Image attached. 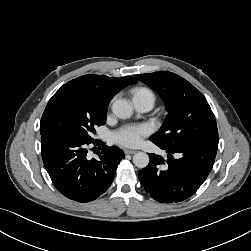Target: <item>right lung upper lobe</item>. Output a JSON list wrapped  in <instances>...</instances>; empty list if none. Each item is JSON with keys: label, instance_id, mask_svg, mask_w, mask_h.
<instances>
[{"label": "right lung upper lobe", "instance_id": "right-lung-upper-lobe-1", "mask_svg": "<svg viewBox=\"0 0 251 251\" xmlns=\"http://www.w3.org/2000/svg\"><path fill=\"white\" fill-rule=\"evenodd\" d=\"M137 80L131 76L122 78L107 77L104 75H84L67 84L79 87L92 92L102 103L109 105L113 96L128 84H133Z\"/></svg>", "mask_w": 251, "mask_h": 251}]
</instances>
